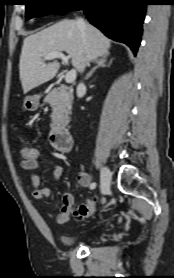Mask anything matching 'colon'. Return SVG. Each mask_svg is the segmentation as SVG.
<instances>
[{
  "mask_svg": "<svg viewBox=\"0 0 174 278\" xmlns=\"http://www.w3.org/2000/svg\"><path fill=\"white\" fill-rule=\"evenodd\" d=\"M39 152L36 148L25 147L20 150L22 160L34 159L38 156ZM95 209V199L89 198L83 204L78 206L74 215L78 218H84L93 213Z\"/></svg>",
  "mask_w": 174,
  "mask_h": 278,
  "instance_id": "5ec220e1",
  "label": "colon"
}]
</instances>
